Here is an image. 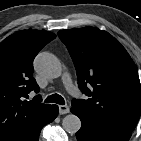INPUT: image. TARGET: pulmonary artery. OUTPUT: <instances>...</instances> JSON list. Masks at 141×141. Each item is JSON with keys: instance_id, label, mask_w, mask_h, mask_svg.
I'll use <instances>...</instances> for the list:
<instances>
[{"instance_id": "e3ab8cb5", "label": "pulmonary artery", "mask_w": 141, "mask_h": 141, "mask_svg": "<svg viewBox=\"0 0 141 141\" xmlns=\"http://www.w3.org/2000/svg\"><path fill=\"white\" fill-rule=\"evenodd\" d=\"M63 82L65 84L66 89L71 93V94H75L76 93V89L72 83V80L69 76V74L65 73L63 76Z\"/></svg>"}]
</instances>
